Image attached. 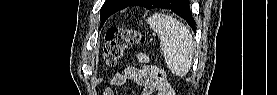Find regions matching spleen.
<instances>
[{
	"mask_svg": "<svg viewBox=\"0 0 277 95\" xmlns=\"http://www.w3.org/2000/svg\"><path fill=\"white\" fill-rule=\"evenodd\" d=\"M147 24L160 39V49L169 70L185 76L192 65L195 43L187 27L167 14L156 13L147 18Z\"/></svg>",
	"mask_w": 277,
	"mask_h": 95,
	"instance_id": "1",
	"label": "spleen"
}]
</instances>
